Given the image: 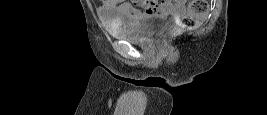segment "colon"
<instances>
[{"label":"colon","mask_w":267,"mask_h":115,"mask_svg":"<svg viewBox=\"0 0 267 115\" xmlns=\"http://www.w3.org/2000/svg\"><path fill=\"white\" fill-rule=\"evenodd\" d=\"M205 3L198 0H192L189 2V8L186 15L181 19L180 26L178 28L170 30L166 36H174L178 34L184 28H193L197 24L198 16L204 11Z\"/></svg>","instance_id":"5ec220e1"}]
</instances>
